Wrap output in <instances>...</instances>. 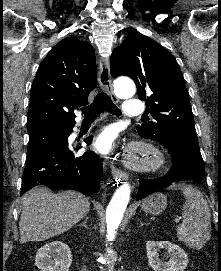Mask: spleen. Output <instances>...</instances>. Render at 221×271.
Returning a JSON list of instances; mask_svg holds the SVG:
<instances>
[{"mask_svg":"<svg viewBox=\"0 0 221 271\" xmlns=\"http://www.w3.org/2000/svg\"><path fill=\"white\" fill-rule=\"evenodd\" d=\"M186 197L182 205V225L177 227L179 241H184L192 249H202L211 237V213L209 205L202 193L186 187L183 189Z\"/></svg>","mask_w":221,"mask_h":271,"instance_id":"obj_1","label":"spleen"}]
</instances>
